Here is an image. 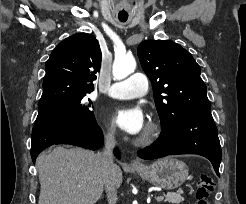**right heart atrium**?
I'll return each mask as SVG.
<instances>
[{
  "label": "right heart atrium",
  "instance_id": "1",
  "mask_svg": "<svg viewBox=\"0 0 246 204\" xmlns=\"http://www.w3.org/2000/svg\"><path fill=\"white\" fill-rule=\"evenodd\" d=\"M104 134H105L106 138L112 139L115 136L114 125L111 123L106 124L105 129H104Z\"/></svg>",
  "mask_w": 246,
  "mask_h": 204
}]
</instances>
